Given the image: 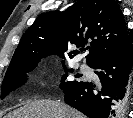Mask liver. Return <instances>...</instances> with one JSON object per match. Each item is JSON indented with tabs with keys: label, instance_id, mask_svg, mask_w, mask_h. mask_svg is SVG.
Masks as SVG:
<instances>
[{
	"label": "liver",
	"instance_id": "6515ba94",
	"mask_svg": "<svg viewBox=\"0 0 133 118\" xmlns=\"http://www.w3.org/2000/svg\"><path fill=\"white\" fill-rule=\"evenodd\" d=\"M6 118H85V116L59 101L35 100L14 110Z\"/></svg>",
	"mask_w": 133,
	"mask_h": 118
}]
</instances>
